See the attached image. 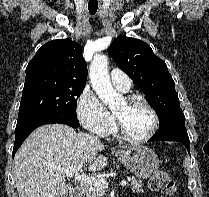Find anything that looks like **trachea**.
Masks as SVG:
<instances>
[{
  "mask_svg": "<svg viewBox=\"0 0 209 197\" xmlns=\"http://www.w3.org/2000/svg\"><path fill=\"white\" fill-rule=\"evenodd\" d=\"M98 9V2L97 0H90L88 3V10L90 14H95Z\"/></svg>",
  "mask_w": 209,
  "mask_h": 197,
  "instance_id": "3493384b",
  "label": "trachea"
}]
</instances>
